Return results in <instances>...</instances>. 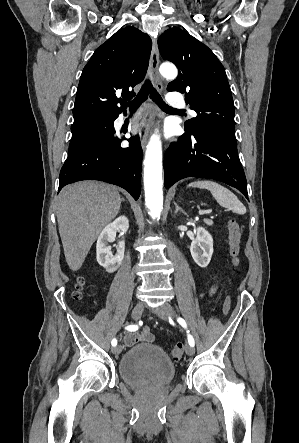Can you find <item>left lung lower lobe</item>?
Listing matches in <instances>:
<instances>
[{"mask_svg": "<svg viewBox=\"0 0 299 443\" xmlns=\"http://www.w3.org/2000/svg\"><path fill=\"white\" fill-rule=\"evenodd\" d=\"M164 172L166 188L186 177L211 178L237 188L248 199L236 140L221 132L203 130L183 134L168 148Z\"/></svg>", "mask_w": 299, "mask_h": 443, "instance_id": "obj_1", "label": "left lung lower lobe"}]
</instances>
